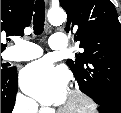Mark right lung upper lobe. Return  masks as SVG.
Segmentation results:
<instances>
[{
  "label": "right lung upper lobe",
  "mask_w": 121,
  "mask_h": 113,
  "mask_svg": "<svg viewBox=\"0 0 121 113\" xmlns=\"http://www.w3.org/2000/svg\"><path fill=\"white\" fill-rule=\"evenodd\" d=\"M34 0H1V34L23 36L32 18ZM6 44L1 43V52Z\"/></svg>",
  "instance_id": "cb5924a9"
}]
</instances>
